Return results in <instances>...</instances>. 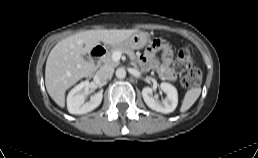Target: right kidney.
<instances>
[{
  "instance_id": "right-kidney-1",
  "label": "right kidney",
  "mask_w": 258,
  "mask_h": 158,
  "mask_svg": "<svg viewBox=\"0 0 258 158\" xmlns=\"http://www.w3.org/2000/svg\"><path fill=\"white\" fill-rule=\"evenodd\" d=\"M89 81H83L75 86L67 96V108L69 113L75 115L86 114L96 109L102 102V91L95 93L90 101L85 102V93L89 91Z\"/></svg>"
}]
</instances>
